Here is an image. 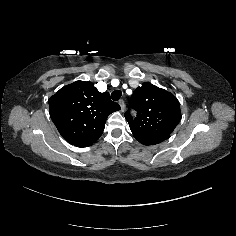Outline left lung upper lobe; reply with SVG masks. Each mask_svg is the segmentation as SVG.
Wrapping results in <instances>:
<instances>
[{
  "instance_id": "obj_1",
  "label": "left lung upper lobe",
  "mask_w": 236,
  "mask_h": 236,
  "mask_svg": "<svg viewBox=\"0 0 236 236\" xmlns=\"http://www.w3.org/2000/svg\"><path fill=\"white\" fill-rule=\"evenodd\" d=\"M136 118L125 113L133 136L139 142L160 143L173 132L181 119L178 99L170 92L150 83H143L130 98Z\"/></svg>"
}]
</instances>
